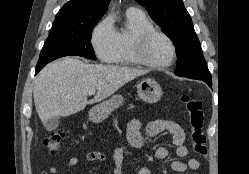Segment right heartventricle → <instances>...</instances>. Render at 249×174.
<instances>
[{
  "label": "right heart ventricle",
  "mask_w": 249,
  "mask_h": 174,
  "mask_svg": "<svg viewBox=\"0 0 249 174\" xmlns=\"http://www.w3.org/2000/svg\"><path fill=\"white\" fill-rule=\"evenodd\" d=\"M149 28H153V25L144 13L128 10L125 14V27L116 30L118 52L111 63L121 66L137 65L138 62L131 52V45L138 33Z\"/></svg>",
  "instance_id": "right-heart-ventricle-1"
}]
</instances>
